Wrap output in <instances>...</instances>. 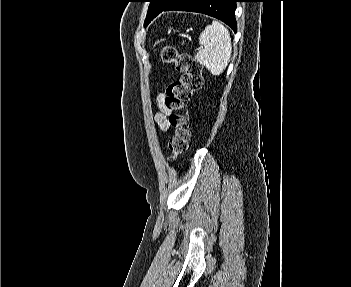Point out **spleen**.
Returning <instances> with one entry per match:
<instances>
[{
	"label": "spleen",
	"instance_id": "spleen-1",
	"mask_svg": "<svg viewBox=\"0 0 351 287\" xmlns=\"http://www.w3.org/2000/svg\"><path fill=\"white\" fill-rule=\"evenodd\" d=\"M199 44L201 47L195 59L213 75L223 73L232 53L231 37L227 28L220 22L213 21L200 34Z\"/></svg>",
	"mask_w": 351,
	"mask_h": 287
}]
</instances>
